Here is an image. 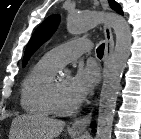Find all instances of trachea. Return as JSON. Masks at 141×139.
Instances as JSON below:
<instances>
[{
    "mask_svg": "<svg viewBox=\"0 0 141 139\" xmlns=\"http://www.w3.org/2000/svg\"><path fill=\"white\" fill-rule=\"evenodd\" d=\"M104 47L105 44H101L98 48H97V56L98 57H102L104 54Z\"/></svg>",
    "mask_w": 141,
    "mask_h": 139,
    "instance_id": "3493384b",
    "label": "trachea"
}]
</instances>
